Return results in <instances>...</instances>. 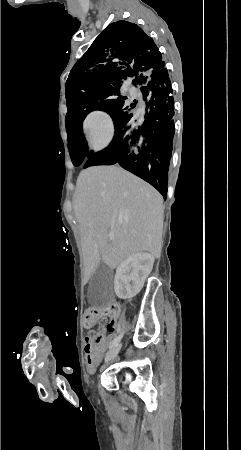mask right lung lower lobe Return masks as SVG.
I'll list each match as a JSON object with an SVG mask.
<instances>
[{"instance_id":"obj_1","label":"right lung lower lobe","mask_w":241,"mask_h":450,"mask_svg":"<svg viewBox=\"0 0 241 450\" xmlns=\"http://www.w3.org/2000/svg\"><path fill=\"white\" fill-rule=\"evenodd\" d=\"M140 86L144 100L147 101L141 125L134 126L136 119H131L115 127L110 145L92 155L84 168L118 163L150 183L166 198L175 129L173 90L165 66L142 75ZM84 118H73L66 130L71 142L70 150L85 155L86 158L92 152L88 154L82 136Z\"/></svg>"}]
</instances>
